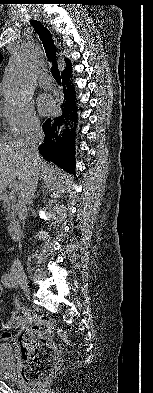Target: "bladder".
<instances>
[{"label": "bladder", "instance_id": "1", "mask_svg": "<svg viewBox=\"0 0 153 393\" xmlns=\"http://www.w3.org/2000/svg\"><path fill=\"white\" fill-rule=\"evenodd\" d=\"M16 363L11 346L0 344V379L14 380Z\"/></svg>", "mask_w": 153, "mask_h": 393}]
</instances>
